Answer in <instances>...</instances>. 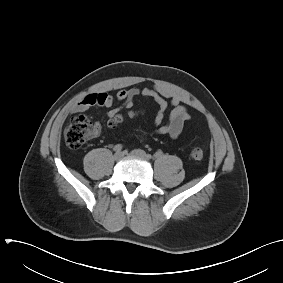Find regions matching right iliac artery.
I'll use <instances>...</instances> for the list:
<instances>
[{
  "label": "right iliac artery",
  "instance_id": "1",
  "mask_svg": "<svg viewBox=\"0 0 283 283\" xmlns=\"http://www.w3.org/2000/svg\"><path fill=\"white\" fill-rule=\"evenodd\" d=\"M122 149H123V146L121 144H117L113 148V150L116 152H120Z\"/></svg>",
  "mask_w": 283,
  "mask_h": 283
}]
</instances>
